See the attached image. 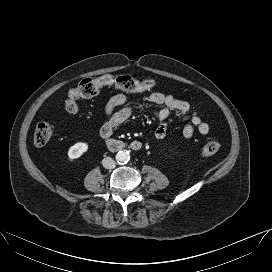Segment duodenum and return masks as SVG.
<instances>
[{"instance_id":"410a0bca","label":"duodenum","mask_w":272,"mask_h":272,"mask_svg":"<svg viewBox=\"0 0 272 272\" xmlns=\"http://www.w3.org/2000/svg\"><path fill=\"white\" fill-rule=\"evenodd\" d=\"M107 146L112 152H118L123 149H130L131 151L138 152L142 149V142L134 140L130 142H124L117 139L107 138Z\"/></svg>"}]
</instances>
